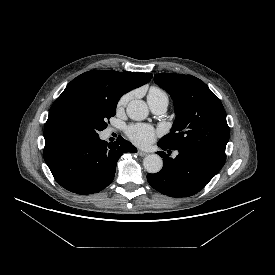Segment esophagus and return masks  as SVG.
<instances>
[{
	"instance_id": "1",
	"label": "esophagus",
	"mask_w": 275,
	"mask_h": 275,
	"mask_svg": "<svg viewBox=\"0 0 275 275\" xmlns=\"http://www.w3.org/2000/svg\"><path fill=\"white\" fill-rule=\"evenodd\" d=\"M138 154H139V156L144 157V156H146L148 153L145 152V151H143V150H138Z\"/></svg>"
}]
</instances>
